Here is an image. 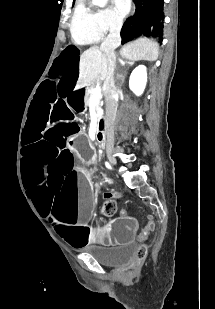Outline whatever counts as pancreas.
<instances>
[{
    "mask_svg": "<svg viewBox=\"0 0 215 309\" xmlns=\"http://www.w3.org/2000/svg\"><path fill=\"white\" fill-rule=\"evenodd\" d=\"M93 88H95V84H91V86H87L86 92H85V104L86 106H90V98L92 96ZM93 108L97 114V118H101L103 114V108L101 104V100H95L93 104Z\"/></svg>",
    "mask_w": 215,
    "mask_h": 309,
    "instance_id": "cf45deb5",
    "label": "pancreas"
}]
</instances>
